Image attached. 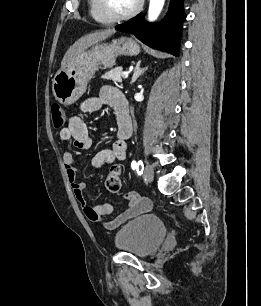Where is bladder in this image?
<instances>
[{"label": "bladder", "mask_w": 261, "mask_h": 306, "mask_svg": "<svg viewBox=\"0 0 261 306\" xmlns=\"http://www.w3.org/2000/svg\"><path fill=\"white\" fill-rule=\"evenodd\" d=\"M167 234L163 221L145 214L124 224L114 238L115 247L136 257H147L162 244Z\"/></svg>", "instance_id": "bladder-1"}]
</instances>
